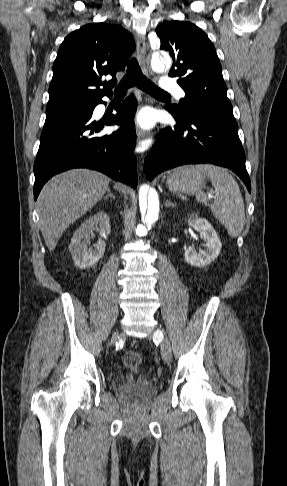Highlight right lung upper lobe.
Here are the masks:
<instances>
[{
  "label": "right lung upper lobe",
  "instance_id": "1",
  "mask_svg": "<svg viewBox=\"0 0 287 486\" xmlns=\"http://www.w3.org/2000/svg\"><path fill=\"white\" fill-rule=\"evenodd\" d=\"M132 35L107 23H92L69 34L53 64L47 109L92 104L112 95L116 73L134 50ZM111 75L107 82L102 77ZM103 85V89L99 87Z\"/></svg>",
  "mask_w": 287,
  "mask_h": 486
}]
</instances>
